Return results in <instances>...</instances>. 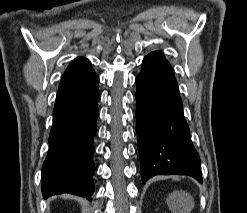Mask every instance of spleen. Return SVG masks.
Returning a JSON list of instances; mask_svg holds the SVG:
<instances>
[{
  "instance_id": "1",
  "label": "spleen",
  "mask_w": 247,
  "mask_h": 213,
  "mask_svg": "<svg viewBox=\"0 0 247 213\" xmlns=\"http://www.w3.org/2000/svg\"><path fill=\"white\" fill-rule=\"evenodd\" d=\"M170 200V207L174 213H188V211L193 207V203L189 201L187 197L182 195L172 196ZM181 207H184V211L183 209L181 210Z\"/></svg>"
}]
</instances>
